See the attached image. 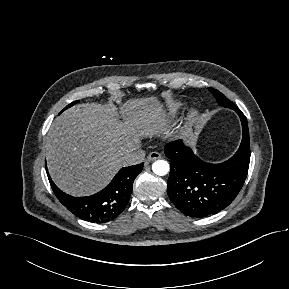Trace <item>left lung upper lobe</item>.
<instances>
[{"label": "left lung upper lobe", "instance_id": "left-lung-upper-lobe-1", "mask_svg": "<svg viewBox=\"0 0 289 289\" xmlns=\"http://www.w3.org/2000/svg\"><path fill=\"white\" fill-rule=\"evenodd\" d=\"M209 91L213 94L219 105L231 108L235 111L239 109L219 91L212 88H209Z\"/></svg>", "mask_w": 289, "mask_h": 289}]
</instances>
